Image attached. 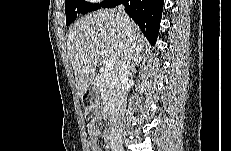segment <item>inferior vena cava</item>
I'll use <instances>...</instances> for the list:
<instances>
[{
  "label": "inferior vena cava",
  "mask_w": 231,
  "mask_h": 151,
  "mask_svg": "<svg viewBox=\"0 0 231 151\" xmlns=\"http://www.w3.org/2000/svg\"><path fill=\"white\" fill-rule=\"evenodd\" d=\"M118 15L124 25H127L129 23V18L125 13L123 5H120L118 7ZM127 34L129 36V39L126 43L124 56L120 62L114 80L115 93L110 118V142L112 146L119 144L121 140L122 120L126 107V92L129 88L128 77L130 75L131 69L130 58L132 55V45L130 41V33L127 32Z\"/></svg>",
  "instance_id": "inferior-vena-cava-1"
}]
</instances>
